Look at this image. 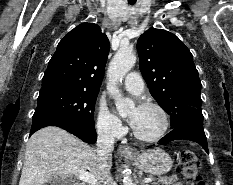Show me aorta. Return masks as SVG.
Segmentation results:
<instances>
[{"instance_id":"762f6f07","label":"aorta","mask_w":233,"mask_h":185,"mask_svg":"<svg viewBox=\"0 0 233 185\" xmlns=\"http://www.w3.org/2000/svg\"><path fill=\"white\" fill-rule=\"evenodd\" d=\"M135 63L136 56L134 53L120 49L115 54L108 68L107 90L115 100L117 112L121 117H126L134 108V102L131 99L122 97L117 83L122 81L126 73L134 67ZM123 185H134L130 176H124Z\"/></svg>"}]
</instances>
